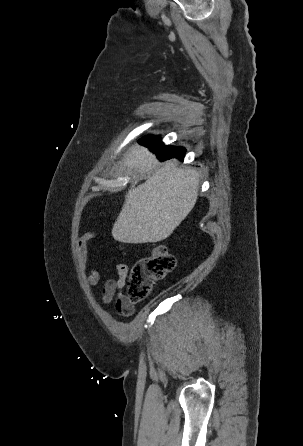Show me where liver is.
I'll use <instances>...</instances> for the list:
<instances>
[{
	"label": "liver",
	"instance_id": "1",
	"mask_svg": "<svg viewBox=\"0 0 303 446\" xmlns=\"http://www.w3.org/2000/svg\"><path fill=\"white\" fill-rule=\"evenodd\" d=\"M157 164L145 147L136 146L124 159L134 177L122 210L113 225L112 236L123 243H155L169 237L193 209L199 189V175L181 168L176 160L160 167L145 183L137 185L139 175Z\"/></svg>",
	"mask_w": 303,
	"mask_h": 446
}]
</instances>
